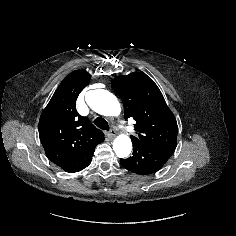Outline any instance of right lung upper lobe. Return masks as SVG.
I'll use <instances>...</instances> for the list:
<instances>
[{
  "label": "right lung upper lobe",
  "instance_id": "cb5924a9",
  "mask_svg": "<svg viewBox=\"0 0 236 236\" xmlns=\"http://www.w3.org/2000/svg\"><path fill=\"white\" fill-rule=\"evenodd\" d=\"M91 79L88 72H71L59 85L39 120V137L46 156L59 165L103 142L104 134L78 114L76 100Z\"/></svg>",
  "mask_w": 236,
  "mask_h": 236
}]
</instances>
